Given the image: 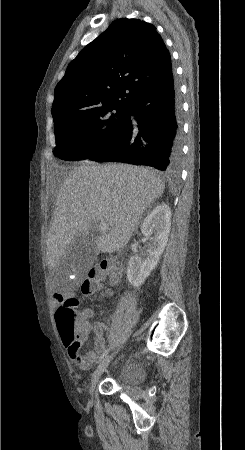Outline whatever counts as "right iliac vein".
Listing matches in <instances>:
<instances>
[{
    "label": "right iliac vein",
    "mask_w": 245,
    "mask_h": 450,
    "mask_svg": "<svg viewBox=\"0 0 245 450\" xmlns=\"http://www.w3.org/2000/svg\"><path fill=\"white\" fill-rule=\"evenodd\" d=\"M112 357H113V354L105 357L100 362V364L98 365L96 370L94 371L93 376L90 381V384L88 386V393L90 394V396H92V397L94 396L96 385H97L101 375L103 374V372L107 369Z\"/></svg>",
    "instance_id": "1"
}]
</instances>
